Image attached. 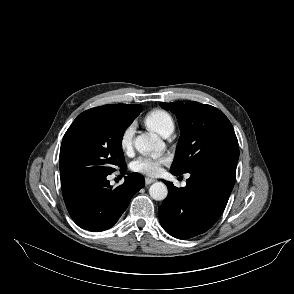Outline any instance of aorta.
I'll return each instance as SVG.
<instances>
[{
  "instance_id": "obj_1",
  "label": "aorta",
  "mask_w": 294,
  "mask_h": 294,
  "mask_svg": "<svg viewBox=\"0 0 294 294\" xmlns=\"http://www.w3.org/2000/svg\"><path fill=\"white\" fill-rule=\"evenodd\" d=\"M161 140L156 134L143 133L136 137L134 144L137 151L140 153H150L157 149ZM149 194L152 199L161 201L168 195L167 186L163 182H155L149 188Z\"/></svg>"
}]
</instances>
